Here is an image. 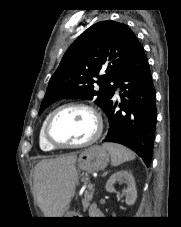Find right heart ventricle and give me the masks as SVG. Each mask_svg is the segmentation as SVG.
<instances>
[{
	"label": "right heart ventricle",
	"instance_id": "obj_1",
	"mask_svg": "<svg viewBox=\"0 0 181 227\" xmlns=\"http://www.w3.org/2000/svg\"><path fill=\"white\" fill-rule=\"evenodd\" d=\"M48 116L49 115H47L46 118L44 119V121L42 122L40 132H39V146L43 151H47V152L56 150L55 147H53L52 145L49 144V142L46 140V138L44 136V127H45Z\"/></svg>",
	"mask_w": 181,
	"mask_h": 227
}]
</instances>
